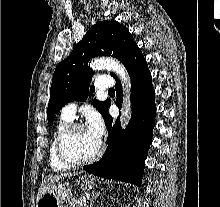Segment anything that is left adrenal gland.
<instances>
[{"mask_svg":"<svg viewBox=\"0 0 220 207\" xmlns=\"http://www.w3.org/2000/svg\"><path fill=\"white\" fill-rule=\"evenodd\" d=\"M99 196V192H92V199H91V204L90 207H93L94 200Z\"/></svg>","mask_w":220,"mask_h":207,"instance_id":"a2214340","label":"left adrenal gland"}]
</instances>
